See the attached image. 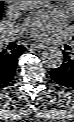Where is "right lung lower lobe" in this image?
<instances>
[{
	"label": "right lung lower lobe",
	"instance_id": "1",
	"mask_svg": "<svg viewBox=\"0 0 74 122\" xmlns=\"http://www.w3.org/2000/svg\"><path fill=\"white\" fill-rule=\"evenodd\" d=\"M25 50L23 46L11 52L0 50V89L10 85L15 75L18 58Z\"/></svg>",
	"mask_w": 74,
	"mask_h": 122
}]
</instances>
